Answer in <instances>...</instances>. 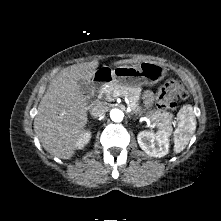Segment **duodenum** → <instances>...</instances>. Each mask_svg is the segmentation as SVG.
<instances>
[{"instance_id":"obj_1","label":"duodenum","mask_w":221,"mask_h":221,"mask_svg":"<svg viewBox=\"0 0 221 221\" xmlns=\"http://www.w3.org/2000/svg\"><path fill=\"white\" fill-rule=\"evenodd\" d=\"M111 81V75L109 72L106 71H100L97 72L93 79V84L95 88H100L103 84Z\"/></svg>"}]
</instances>
